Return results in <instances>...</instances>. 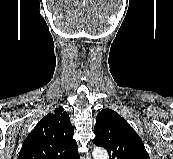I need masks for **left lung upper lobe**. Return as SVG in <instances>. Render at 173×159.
I'll list each match as a JSON object with an SVG mask.
<instances>
[{
	"instance_id": "left-lung-upper-lobe-1",
	"label": "left lung upper lobe",
	"mask_w": 173,
	"mask_h": 159,
	"mask_svg": "<svg viewBox=\"0 0 173 159\" xmlns=\"http://www.w3.org/2000/svg\"><path fill=\"white\" fill-rule=\"evenodd\" d=\"M93 143L104 147L109 159H150L135 130L113 110L103 109L96 116Z\"/></svg>"
}]
</instances>
